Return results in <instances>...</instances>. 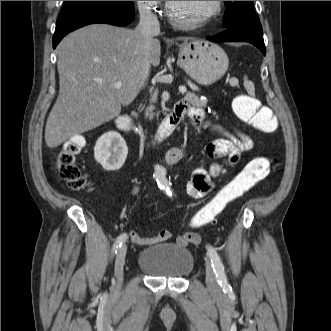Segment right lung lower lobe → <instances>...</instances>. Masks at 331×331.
<instances>
[{"mask_svg":"<svg viewBox=\"0 0 331 331\" xmlns=\"http://www.w3.org/2000/svg\"><path fill=\"white\" fill-rule=\"evenodd\" d=\"M134 16L133 2L128 1L121 4L94 7L69 17L58 19L53 36V48L57 46L66 34L80 27L95 23L125 26L133 21Z\"/></svg>","mask_w":331,"mask_h":331,"instance_id":"1","label":"right lung lower lobe"}]
</instances>
